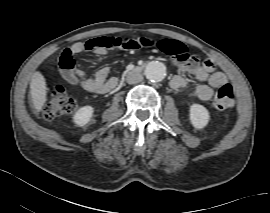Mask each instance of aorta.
<instances>
[{
    "instance_id": "obj_1",
    "label": "aorta",
    "mask_w": 270,
    "mask_h": 213,
    "mask_svg": "<svg viewBox=\"0 0 270 213\" xmlns=\"http://www.w3.org/2000/svg\"><path fill=\"white\" fill-rule=\"evenodd\" d=\"M145 75L151 82H161L166 76V68L163 63L154 61L146 66Z\"/></svg>"
}]
</instances>
